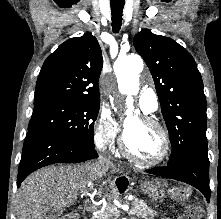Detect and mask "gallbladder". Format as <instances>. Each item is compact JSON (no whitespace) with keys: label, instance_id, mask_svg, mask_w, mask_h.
<instances>
[{"label":"gallbladder","instance_id":"obj_1","mask_svg":"<svg viewBox=\"0 0 221 219\" xmlns=\"http://www.w3.org/2000/svg\"><path fill=\"white\" fill-rule=\"evenodd\" d=\"M62 209H52L47 213L46 219H61Z\"/></svg>","mask_w":221,"mask_h":219}]
</instances>
